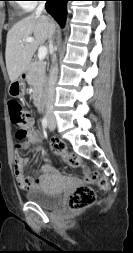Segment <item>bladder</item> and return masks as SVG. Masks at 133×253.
<instances>
[{
	"label": "bladder",
	"instance_id": "1",
	"mask_svg": "<svg viewBox=\"0 0 133 253\" xmlns=\"http://www.w3.org/2000/svg\"><path fill=\"white\" fill-rule=\"evenodd\" d=\"M25 197L28 201L43 209H54L62 201V195L59 192L49 191L44 188L31 189L25 193Z\"/></svg>",
	"mask_w": 133,
	"mask_h": 253
}]
</instances>
